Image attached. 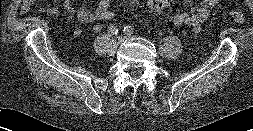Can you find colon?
Returning <instances> with one entry per match:
<instances>
[{"label":"colon","instance_id":"5ec220e1","mask_svg":"<svg viewBox=\"0 0 253 131\" xmlns=\"http://www.w3.org/2000/svg\"><path fill=\"white\" fill-rule=\"evenodd\" d=\"M176 4V0H148L147 7L152 12H160L172 8ZM226 15L235 24H243L245 21V14L240 9H230ZM101 19L105 23H112L116 19V13L109 8L102 13Z\"/></svg>","mask_w":253,"mask_h":131}]
</instances>
